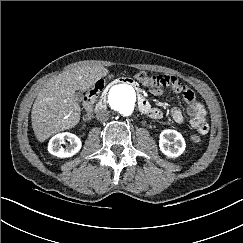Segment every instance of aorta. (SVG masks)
<instances>
[{"label":"aorta","instance_id":"1","mask_svg":"<svg viewBox=\"0 0 243 243\" xmlns=\"http://www.w3.org/2000/svg\"><path fill=\"white\" fill-rule=\"evenodd\" d=\"M135 101V90L128 84L114 85L107 94V102L110 107L125 116L132 114Z\"/></svg>","mask_w":243,"mask_h":243}]
</instances>
